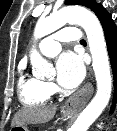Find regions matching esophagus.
Masks as SVG:
<instances>
[{
    "label": "esophagus",
    "instance_id": "obj_1",
    "mask_svg": "<svg viewBox=\"0 0 117 131\" xmlns=\"http://www.w3.org/2000/svg\"><path fill=\"white\" fill-rule=\"evenodd\" d=\"M93 86L90 82L86 83L82 89L70 97L64 104V109L68 112H77L86 103L87 98L91 95Z\"/></svg>",
    "mask_w": 117,
    "mask_h": 131
}]
</instances>
